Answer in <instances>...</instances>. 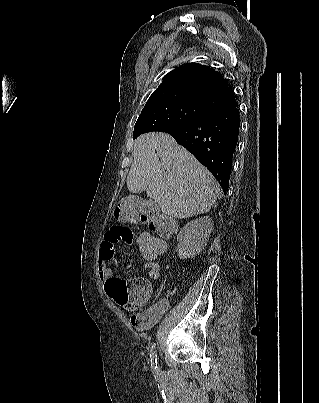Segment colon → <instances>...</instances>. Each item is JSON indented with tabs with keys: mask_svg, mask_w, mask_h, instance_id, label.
Segmentation results:
<instances>
[{
	"mask_svg": "<svg viewBox=\"0 0 319 403\" xmlns=\"http://www.w3.org/2000/svg\"><path fill=\"white\" fill-rule=\"evenodd\" d=\"M142 197L141 192H128L127 197H120L115 215L148 225L149 229H136L132 238L138 258H163L168 248L166 238L174 234L177 226L159 208H151L150 201H141Z\"/></svg>",
	"mask_w": 319,
	"mask_h": 403,
	"instance_id": "1",
	"label": "colon"
}]
</instances>
